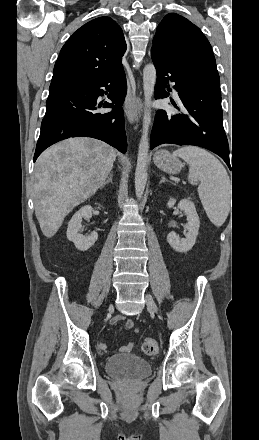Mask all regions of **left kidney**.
Returning a JSON list of instances; mask_svg holds the SVG:
<instances>
[{
    "instance_id": "obj_1",
    "label": "left kidney",
    "mask_w": 259,
    "mask_h": 440,
    "mask_svg": "<svg viewBox=\"0 0 259 440\" xmlns=\"http://www.w3.org/2000/svg\"><path fill=\"white\" fill-rule=\"evenodd\" d=\"M176 199H170L167 203V207L171 208L175 205ZM178 208L184 212L187 216L188 223L186 224L187 233L185 238L180 239L179 235L174 232H170L167 235V241L169 245L177 252H187L192 249L198 236L200 227V220L192 201L188 199H182L178 203Z\"/></svg>"
}]
</instances>
